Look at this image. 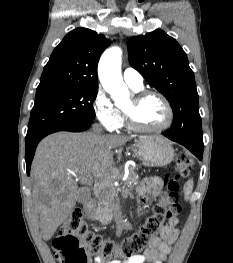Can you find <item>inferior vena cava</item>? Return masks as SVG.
<instances>
[{
    "label": "inferior vena cava",
    "mask_w": 233,
    "mask_h": 263,
    "mask_svg": "<svg viewBox=\"0 0 233 263\" xmlns=\"http://www.w3.org/2000/svg\"><path fill=\"white\" fill-rule=\"evenodd\" d=\"M96 185L97 186L101 185V181H96Z\"/></svg>",
    "instance_id": "inferior-vena-cava-1"
}]
</instances>
